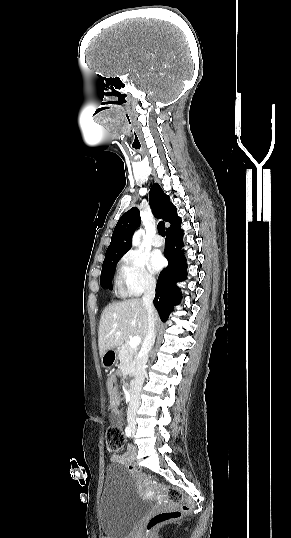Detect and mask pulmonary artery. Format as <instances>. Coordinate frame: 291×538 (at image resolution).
Returning a JSON list of instances; mask_svg holds the SVG:
<instances>
[{
	"label": "pulmonary artery",
	"instance_id": "1",
	"mask_svg": "<svg viewBox=\"0 0 291 538\" xmlns=\"http://www.w3.org/2000/svg\"><path fill=\"white\" fill-rule=\"evenodd\" d=\"M151 243L154 247H160L163 245V240L159 236H155Z\"/></svg>",
	"mask_w": 291,
	"mask_h": 538
}]
</instances>
